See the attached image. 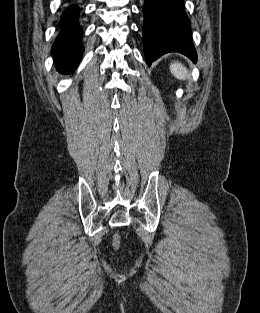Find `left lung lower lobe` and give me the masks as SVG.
Masks as SVG:
<instances>
[{"mask_svg": "<svg viewBox=\"0 0 260 313\" xmlns=\"http://www.w3.org/2000/svg\"><path fill=\"white\" fill-rule=\"evenodd\" d=\"M142 11L144 53L148 65L168 52L185 54L196 62L184 0H145Z\"/></svg>", "mask_w": 260, "mask_h": 313, "instance_id": "1", "label": "left lung lower lobe"}]
</instances>
